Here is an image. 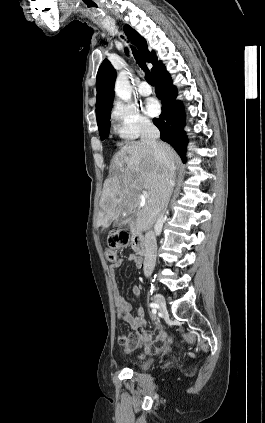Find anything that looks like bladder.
I'll use <instances>...</instances> for the list:
<instances>
[{
	"label": "bladder",
	"mask_w": 265,
	"mask_h": 423,
	"mask_svg": "<svg viewBox=\"0 0 265 423\" xmlns=\"http://www.w3.org/2000/svg\"><path fill=\"white\" fill-rule=\"evenodd\" d=\"M151 364H152V361L151 360H145V361H143L141 363L140 366H141V368L146 369V368H149L151 366Z\"/></svg>",
	"instance_id": "bladder-1"
}]
</instances>
